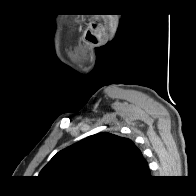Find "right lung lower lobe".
Returning a JSON list of instances; mask_svg holds the SVG:
<instances>
[{
	"mask_svg": "<svg viewBox=\"0 0 196 196\" xmlns=\"http://www.w3.org/2000/svg\"><path fill=\"white\" fill-rule=\"evenodd\" d=\"M143 181V180H142ZM142 181L135 183V184H128V185H123L122 187H133L139 185Z\"/></svg>",
	"mask_w": 196,
	"mask_h": 196,
	"instance_id": "obj_1",
	"label": "right lung lower lobe"
}]
</instances>
